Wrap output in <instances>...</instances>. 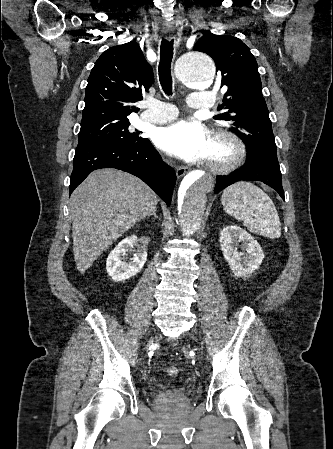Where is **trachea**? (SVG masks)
<instances>
[{
	"label": "trachea",
	"mask_w": 333,
	"mask_h": 449,
	"mask_svg": "<svg viewBox=\"0 0 333 449\" xmlns=\"http://www.w3.org/2000/svg\"><path fill=\"white\" fill-rule=\"evenodd\" d=\"M173 58V40L162 39L160 47V62L158 66L159 81L165 94L172 95L171 62Z\"/></svg>",
	"instance_id": "1"
}]
</instances>
